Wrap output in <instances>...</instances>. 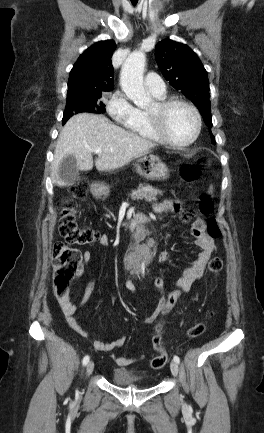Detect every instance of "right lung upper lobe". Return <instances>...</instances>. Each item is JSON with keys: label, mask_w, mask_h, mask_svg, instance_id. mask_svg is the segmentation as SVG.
I'll return each instance as SVG.
<instances>
[{"label": "right lung upper lobe", "mask_w": 264, "mask_h": 433, "mask_svg": "<svg viewBox=\"0 0 264 433\" xmlns=\"http://www.w3.org/2000/svg\"><path fill=\"white\" fill-rule=\"evenodd\" d=\"M115 49L113 40H105L95 43L80 55L70 72L67 98L113 89L111 57Z\"/></svg>", "instance_id": "cb5924a9"}]
</instances>
